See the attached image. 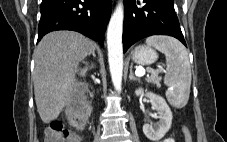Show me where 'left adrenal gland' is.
I'll use <instances>...</instances> for the list:
<instances>
[{"mask_svg":"<svg viewBox=\"0 0 227 142\" xmlns=\"http://www.w3.org/2000/svg\"><path fill=\"white\" fill-rule=\"evenodd\" d=\"M129 80L139 81V79H138V78H136V77L133 75V64H131V65H130Z\"/></svg>","mask_w":227,"mask_h":142,"instance_id":"1","label":"left adrenal gland"}]
</instances>
